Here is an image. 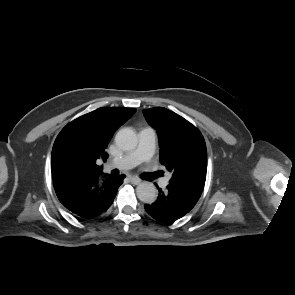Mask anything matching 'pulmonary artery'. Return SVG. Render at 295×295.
Returning a JSON list of instances; mask_svg holds the SVG:
<instances>
[{"label":"pulmonary artery","mask_w":295,"mask_h":295,"mask_svg":"<svg viewBox=\"0 0 295 295\" xmlns=\"http://www.w3.org/2000/svg\"><path fill=\"white\" fill-rule=\"evenodd\" d=\"M139 142L136 149L125 154L119 159L111 161V166L120 168V169H130L137 164L149 161L154 153L155 143H156V134L152 128H143L140 130ZM168 184L167 178H162L160 180V185L165 187Z\"/></svg>","instance_id":"obj_1"}]
</instances>
